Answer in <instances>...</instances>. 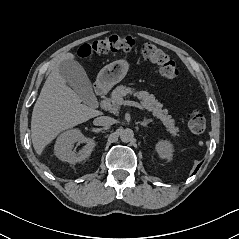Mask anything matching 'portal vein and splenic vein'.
<instances>
[{
    "instance_id": "obj_1",
    "label": "portal vein and splenic vein",
    "mask_w": 239,
    "mask_h": 239,
    "mask_svg": "<svg viewBox=\"0 0 239 239\" xmlns=\"http://www.w3.org/2000/svg\"><path fill=\"white\" fill-rule=\"evenodd\" d=\"M119 105H130V106H135L137 108H139L140 110H145L144 107L139 104L138 102H134V101H124L123 98L119 99L118 101Z\"/></svg>"
}]
</instances>
